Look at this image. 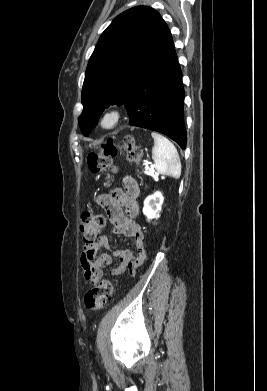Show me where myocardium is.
Returning <instances> with one entry per match:
<instances>
[{
  "label": "myocardium",
  "mask_w": 267,
  "mask_h": 391,
  "mask_svg": "<svg viewBox=\"0 0 267 391\" xmlns=\"http://www.w3.org/2000/svg\"><path fill=\"white\" fill-rule=\"evenodd\" d=\"M123 119V112L119 107H109L105 109L100 118L99 126L104 131H112L116 129ZM109 120V123L106 122Z\"/></svg>",
  "instance_id": "1"
}]
</instances>
